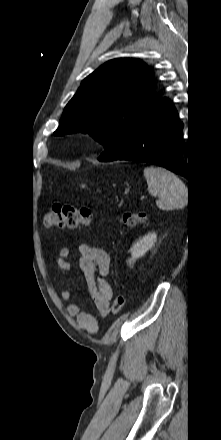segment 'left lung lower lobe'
<instances>
[{
	"label": "left lung lower lobe",
	"mask_w": 221,
	"mask_h": 440,
	"mask_svg": "<svg viewBox=\"0 0 221 440\" xmlns=\"http://www.w3.org/2000/svg\"><path fill=\"white\" fill-rule=\"evenodd\" d=\"M182 130L183 123L172 102L159 98L137 122L125 153L117 160L149 162L189 179L188 166L182 154L186 146Z\"/></svg>",
	"instance_id": "obj_1"
}]
</instances>
